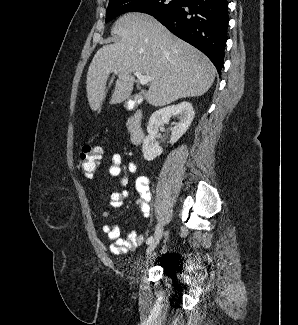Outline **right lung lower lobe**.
I'll return each instance as SVG.
<instances>
[{
  "label": "right lung lower lobe",
  "instance_id": "right-lung-lower-lobe-1",
  "mask_svg": "<svg viewBox=\"0 0 298 325\" xmlns=\"http://www.w3.org/2000/svg\"><path fill=\"white\" fill-rule=\"evenodd\" d=\"M173 34L202 51L220 73L229 22L227 0H185L154 16Z\"/></svg>",
  "mask_w": 298,
  "mask_h": 325
}]
</instances>
